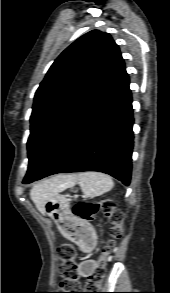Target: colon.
Here are the masks:
<instances>
[{
    "label": "colon",
    "mask_w": 170,
    "mask_h": 293,
    "mask_svg": "<svg viewBox=\"0 0 170 293\" xmlns=\"http://www.w3.org/2000/svg\"><path fill=\"white\" fill-rule=\"evenodd\" d=\"M98 212H102L103 216L111 221L112 226L108 230V239L101 249L102 255L99 258V262L89 276L86 286H81L77 274L75 247L64 243L57 249L61 262L59 274L62 277V283L56 292L52 293H92L91 291L103 282L106 274L107 256L110 254L111 247L123 236L122 217L117 212L115 203L111 200L76 203L72 207V214L78 220L71 217H61L58 219V226L64 235L81 234L83 232V223L93 221Z\"/></svg>",
    "instance_id": "obj_1"
}]
</instances>
